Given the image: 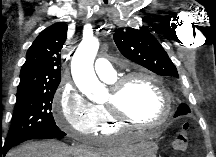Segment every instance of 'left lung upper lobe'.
Here are the masks:
<instances>
[{"mask_svg":"<svg viewBox=\"0 0 216 157\" xmlns=\"http://www.w3.org/2000/svg\"><path fill=\"white\" fill-rule=\"evenodd\" d=\"M113 38L127 59L158 75L179 77L175 65L148 28L119 30ZM181 111L190 112L188 107H182Z\"/></svg>","mask_w":216,"mask_h":157,"instance_id":"5c2ea615","label":"left lung upper lobe"}]
</instances>
